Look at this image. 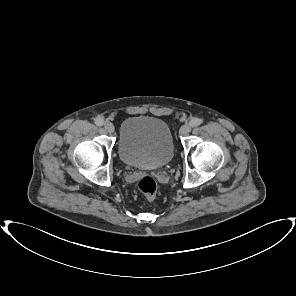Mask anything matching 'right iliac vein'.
I'll return each instance as SVG.
<instances>
[{"label": "right iliac vein", "mask_w": 296, "mask_h": 296, "mask_svg": "<svg viewBox=\"0 0 296 296\" xmlns=\"http://www.w3.org/2000/svg\"><path fill=\"white\" fill-rule=\"evenodd\" d=\"M104 128L109 133L114 132V126H113V124L111 122H105L104 123Z\"/></svg>", "instance_id": "1"}]
</instances>
